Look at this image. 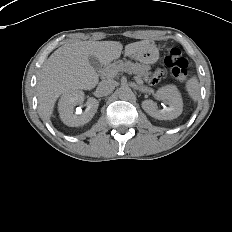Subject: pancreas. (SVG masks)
Listing matches in <instances>:
<instances>
[{
	"label": "pancreas",
	"instance_id": "pancreas-1",
	"mask_svg": "<svg viewBox=\"0 0 232 232\" xmlns=\"http://www.w3.org/2000/svg\"><path fill=\"white\" fill-rule=\"evenodd\" d=\"M150 67L140 63H132L130 61H120L114 62L110 64L108 67L104 69L105 73H109L110 71L118 72H127L129 74H134L137 78V81L147 78L150 74Z\"/></svg>",
	"mask_w": 232,
	"mask_h": 232
}]
</instances>
